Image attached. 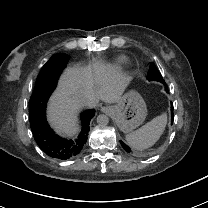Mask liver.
Returning a JSON list of instances; mask_svg holds the SVG:
<instances>
[{
	"label": "liver",
	"mask_w": 208,
	"mask_h": 208,
	"mask_svg": "<svg viewBox=\"0 0 208 208\" xmlns=\"http://www.w3.org/2000/svg\"><path fill=\"white\" fill-rule=\"evenodd\" d=\"M130 77L111 64L97 61L92 67H70L61 76L57 91L50 98L48 120L58 133L75 135L79 128L77 112L82 106L95 107L99 100L106 103L118 102ZM90 101L79 103L78 94Z\"/></svg>",
	"instance_id": "6515ba94"
}]
</instances>
